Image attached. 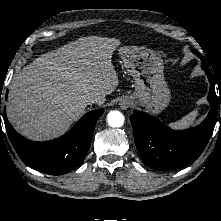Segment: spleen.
Wrapping results in <instances>:
<instances>
[{
    "label": "spleen",
    "mask_w": 221,
    "mask_h": 221,
    "mask_svg": "<svg viewBox=\"0 0 221 221\" xmlns=\"http://www.w3.org/2000/svg\"><path fill=\"white\" fill-rule=\"evenodd\" d=\"M198 116V108H195L192 112L184 116L182 119L170 123V127L175 129H186L191 127L196 120V117Z\"/></svg>",
    "instance_id": "1"
}]
</instances>
